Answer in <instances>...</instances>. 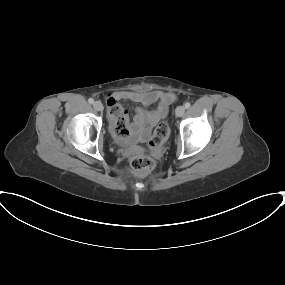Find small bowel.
<instances>
[{
	"label": "small bowel",
	"mask_w": 285,
	"mask_h": 285,
	"mask_svg": "<svg viewBox=\"0 0 285 285\" xmlns=\"http://www.w3.org/2000/svg\"><path fill=\"white\" fill-rule=\"evenodd\" d=\"M109 100H115L117 103L118 100H130L138 102L145 107L158 103V106L151 110L142 107L137 108L132 122L129 121L127 112L119 105L120 117L126 122L129 130L128 136L124 140L129 144H134L148 140L152 128L165 116L168 107L176 100V96L172 92L160 90L130 91L111 95ZM108 118L111 125L118 119L115 115L110 114L109 111Z\"/></svg>",
	"instance_id": "c3829d8e"
}]
</instances>
